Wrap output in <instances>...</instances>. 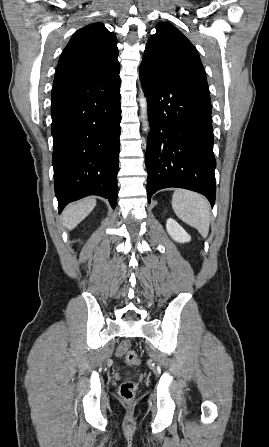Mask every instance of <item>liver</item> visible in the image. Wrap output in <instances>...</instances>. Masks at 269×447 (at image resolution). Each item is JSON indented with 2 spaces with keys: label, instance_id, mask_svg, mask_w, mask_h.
I'll return each instance as SVG.
<instances>
[{
  "label": "liver",
  "instance_id": "liver-1",
  "mask_svg": "<svg viewBox=\"0 0 269 447\" xmlns=\"http://www.w3.org/2000/svg\"><path fill=\"white\" fill-rule=\"evenodd\" d=\"M95 206L96 200L94 198H85V200H80V202H75V204H69L63 212V225L67 229H74L76 225L87 218Z\"/></svg>",
  "mask_w": 269,
  "mask_h": 447
}]
</instances>
